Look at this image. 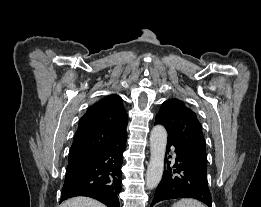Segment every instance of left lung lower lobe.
Returning a JSON list of instances; mask_svg holds the SVG:
<instances>
[{
    "instance_id": "1",
    "label": "left lung lower lobe",
    "mask_w": 261,
    "mask_h": 207,
    "mask_svg": "<svg viewBox=\"0 0 261 207\" xmlns=\"http://www.w3.org/2000/svg\"><path fill=\"white\" fill-rule=\"evenodd\" d=\"M171 145L173 144L167 141V152L170 151ZM175 152V163L172 166L167 164L150 207L157 202L176 198H194L212 207L207 167L181 152L176 146Z\"/></svg>"
}]
</instances>
